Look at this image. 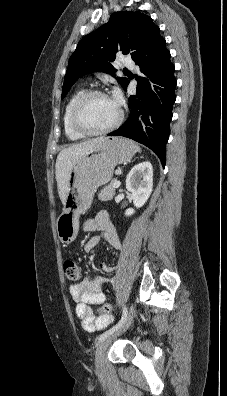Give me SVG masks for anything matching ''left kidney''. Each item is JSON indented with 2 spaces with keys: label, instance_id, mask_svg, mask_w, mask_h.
<instances>
[{
  "label": "left kidney",
  "instance_id": "left-kidney-1",
  "mask_svg": "<svg viewBox=\"0 0 227 396\" xmlns=\"http://www.w3.org/2000/svg\"><path fill=\"white\" fill-rule=\"evenodd\" d=\"M153 188V167L149 161L135 165L126 178V189L133 195L136 208L142 207L150 197ZM135 210L129 208L125 216L133 215Z\"/></svg>",
  "mask_w": 227,
  "mask_h": 396
}]
</instances>
